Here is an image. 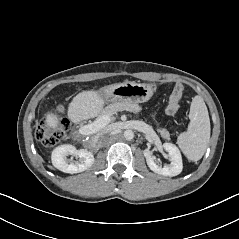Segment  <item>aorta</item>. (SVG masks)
<instances>
[{
	"label": "aorta",
	"mask_w": 239,
	"mask_h": 239,
	"mask_svg": "<svg viewBox=\"0 0 239 239\" xmlns=\"http://www.w3.org/2000/svg\"><path fill=\"white\" fill-rule=\"evenodd\" d=\"M124 138L126 139V140H132L133 138H134V133H133V131L132 130H125L124 131Z\"/></svg>",
	"instance_id": "aorta-1"
}]
</instances>
